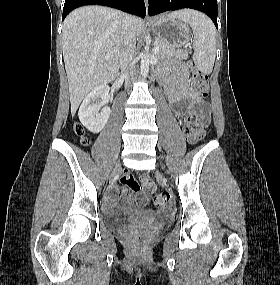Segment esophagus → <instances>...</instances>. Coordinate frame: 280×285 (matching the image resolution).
<instances>
[{"label":"esophagus","mask_w":280,"mask_h":285,"mask_svg":"<svg viewBox=\"0 0 280 285\" xmlns=\"http://www.w3.org/2000/svg\"><path fill=\"white\" fill-rule=\"evenodd\" d=\"M146 7L148 6V0H144Z\"/></svg>","instance_id":"obj_1"}]
</instances>
